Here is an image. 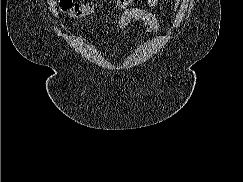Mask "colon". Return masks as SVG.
I'll return each mask as SVG.
<instances>
[{
  "instance_id": "5ec220e1",
  "label": "colon",
  "mask_w": 243,
  "mask_h": 182,
  "mask_svg": "<svg viewBox=\"0 0 243 182\" xmlns=\"http://www.w3.org/2000/svg\"><path fill=\"white\" fill-rule=\"evenodd\" d=\"M133 0H115V6L119 9L127 8ZM58 7L60 11L70 15L73 18H82L91 15L94 12L92 3H74L73 0H59Z\"/></svg>"
}]
</instances>
